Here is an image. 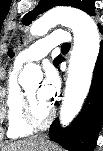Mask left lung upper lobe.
Masks as SVG:
<instances>
[{"instance_id":"obj_1","label":"left lung upper lobe","mask_w":103,"mask_h":151,"mask_svg":"<svg viewBox=\"0 0 103 151\" xmlns=\"http://www.w3.org/2000/svg\"><path fill=\"white\" fill-rule=\"evenodd\" d=\"M72 6L83 10L88 13L90 16L95 15V2L94 0H41L40 3L36 6L35 9L28 12L22 19L24 25H29L39 14L55 7V6ZM57 60L61 62L62 57L58 56ZM54 64L57 65V61H54Z\"/></svg>"}]
</instances>
